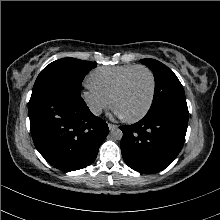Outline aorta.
<instances>
[{
    "label": "aorta",
    "mask_w": 220,
    "mask_h": 220,
    "mask_svg": "<svg viewBox=\"0 0 220 220\" xmlns=\"http://www.w3.org/2000/svg\"><path fill=\"white\" fill-rule=\"evenodd\" d=\"M111 138L114 140H121L123 132L119 128H114L110 132Z\"/></svg>",
    "instance_id": "aorta-1"
}]
</instances>
